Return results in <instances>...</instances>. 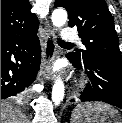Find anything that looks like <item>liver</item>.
Here are the masks:
<instances>
[{
    "instance_id": "6515ba94",
    "label": "liver",
    "mask_w": 122,
    "mask_h": 123,
    "mask_svg": "<svg viewBox=\"0 0 122 123\" xmlns=\"http://www.w3.org/2000/svg\"><path fill=\"white\" fill-rule=\"evenodd\" d=\"M1 123H26L23 113L8 103H1Z\"/></svg>"
}]
</instances>
